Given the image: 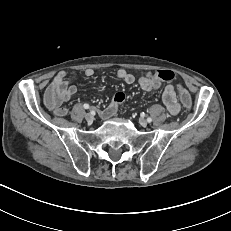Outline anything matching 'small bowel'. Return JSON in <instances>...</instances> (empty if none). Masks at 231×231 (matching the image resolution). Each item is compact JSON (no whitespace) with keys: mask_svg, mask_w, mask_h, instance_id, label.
Instances as JSON below:
<instances>
[{"mask_svg":"<svg viewBox=\"0 0 231 231\" xmlns=\"http://www.w3.org/2000/svg\"><path fill=\"white\" fill-rule=\"evenodd\" d=\"M84 75L86 77H92L94 75V70L92 68H87L84 70ZM116 76L126 84H133L136 81V77L125 69H119ZM76 78L73 75L71 78H67V73L65 71H60L53 78L51 84H56L59 87V92L55 95L56 103L50 108L57 116H65L68 112L67 108L62 106V102H68L77 92V86L72 84ZM138 85L141 89L145 91L155 90L160 87V81L155 78L152 72H143L138 78ZM162 100L166 108L171 115L178 114L180 110V103L178 101L175 87L173 84H168L162 94ZM118 106L111 103L102 111V117L110 118L117 112Z\"/></svg>","mask_w":231,"mask_h":231,"instance_id":"small-bowel-1","label":"small bowel"}]
</instances>
